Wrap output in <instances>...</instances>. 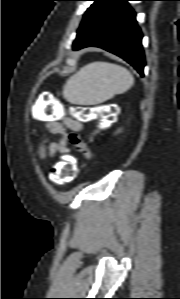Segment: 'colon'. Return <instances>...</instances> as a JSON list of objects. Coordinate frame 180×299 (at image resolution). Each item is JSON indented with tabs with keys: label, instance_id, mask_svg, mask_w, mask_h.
Here are the masks:
<instances>
[{
	"label": "colon",
	"instance_id": "colon-1",
	"mask_svg": "<svg viewBox=\"0 0 180 299\" xmlns=\"http://www.w3.org/2000/svg\"><path fill=\"white\" fill-rule=\"evenodd\" d=\"M74 114L81 121H92L105 116L113 118L115 115L112 113L106 115L104 106H76ZM45 116L52 119H57L61 116L56 103L46 108ZM78 171V165L74 161L67 157H62L50 170L48 178L55 184L63 185L72 182L77 177Z\"/></svg>",
	"mask_w": 180,
	"mask_h": 299
}]
</instances>
